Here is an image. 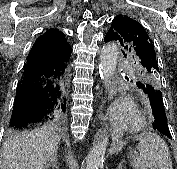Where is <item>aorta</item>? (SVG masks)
Masks as SVG:
<instances>
[{"label":"aorta","mask_w":177,"mask_h":169,"mask_svg":"<svg viewBox=\"0 0 177 169\" xmlns=\"http://www.w3.org/2000/svg\"><path fill=\"white\" fill-rule=\"evenodd\" d=\"M119 58V48L113 44H107L103 47L100 55V74L105 83L110 84L111 78L114 76ZM109 137L107 133L97 135L93 147L86 158V166L84 169H99L104 162Z\"/></svg>","instance_id":"obj_1"}]
</instances>
